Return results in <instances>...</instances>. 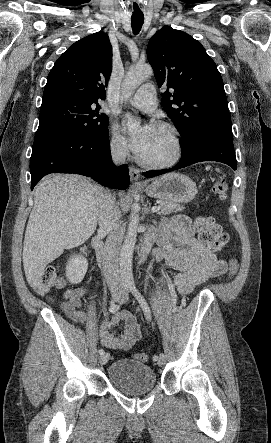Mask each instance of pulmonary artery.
Wrapping results in <instances>:
<instances>
[{"label": "pulmonary artery", "mask_w": 271, "mask_h": 443, "mask_svg": "<svg viewBox=\"0 0 271 443\" xmlns=\"http://www.w3.org/2000/svg\"><path fill=\"white\" fill-rule=\"evenodd\" d=\"M129 103L140 109H153L157 105L156 91L152 84L141 86L136 93L129 98Z\"/></svg>", "instance_id": "obj_1"}]
</instances>
